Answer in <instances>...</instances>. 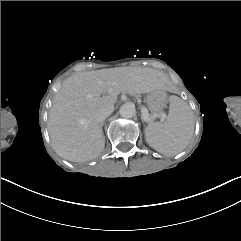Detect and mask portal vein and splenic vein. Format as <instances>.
<instances>
[{"mask_svg":"<svg viewBox=\"0 0 241 241\" xmlns=\"http://www.w3.org/2000/svg\"><path fill=\"white\" fill-rule=\"evenodd\" d=\"M141 112L142 114L144 115L145 118H143V123H148V124H153V120L154 119H157V118H161L162 120H165L166 119V116H165V113H164V109L163 108H160L159 111H156L155 113L153 114H150L148 113L149 110L148 108H146L145 106H142L141 107Z\"/></svg>","mask_w":241,"mask_h":241,"instance_id":"obj_1","label":"portal vein and splenic vein"}]
</instances>
